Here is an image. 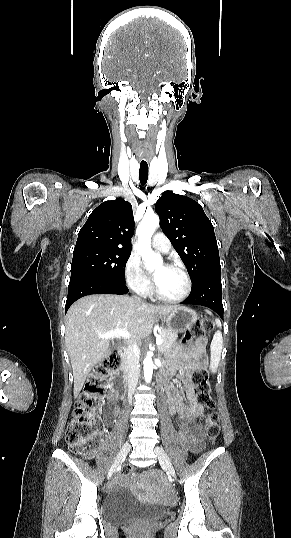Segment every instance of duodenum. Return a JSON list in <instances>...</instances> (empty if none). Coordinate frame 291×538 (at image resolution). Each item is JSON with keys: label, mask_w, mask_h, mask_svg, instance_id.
<instances>
[{"label": "duodenum", "mask_w": 291, "mask_h": 538, "mask_svg": "<svg viewBox=\"0 0 291 538\" xmlns=\"http://www.w3.org/2000/svg\"><path fill=\"white\" fill-rule=\"evenodd\" d=\"M120 354L122 356L123 363L119 365V368H120L119 372L121 374H124L128 371L127 356H126L125 351H121ZM158 377L161 380H160V383H156V386H161L162 382H166V378L168 377V374L166 372H160L158 374ZM110 386L112 387V391L116 395V397L124 396L127 391V388L123 381V375H119V374L111 375Z\"/></svg>", "instance_id": "duodenum-1"}]
</instances>
